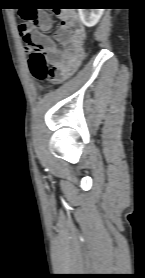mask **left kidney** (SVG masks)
<instances>
[{
	"instance_id": "1",
	"label": "left kidney",
	"mask_w": 145,
	"mask_h": 278,
	"mask_svg": "<svg viewBox=\"0 0 145 278\" xmlns=\"http://www.w3.org/2000/svg\"><path fill=\"white\" fill-rule=\"evenodd\" d=\"M78 11L83 24L87 27H93L98 23L104 9H78Z\"/></svg>"
}]
</instances>
